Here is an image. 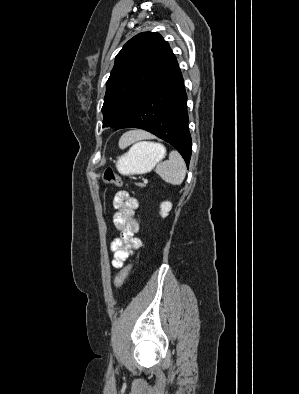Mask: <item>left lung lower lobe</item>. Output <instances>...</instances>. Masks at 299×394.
<instances>
[{"label":"left lung lower lobe","mask_w":299,"mask_h":394,"mask_svg":"<svg viewBox=\"0 0 299 394\" xmlns=\"http://www.w3.org/2000/svg\"><path fill=\"white\" fill-rule=\"evenodd\" d=\"M146 130L174 146L187 167L191 157L187 95L177 61L161 73L144 91L130 113L117 125Z\"/></svg>","instance_id":"0a47b994"}]
</instances>
